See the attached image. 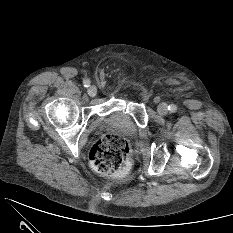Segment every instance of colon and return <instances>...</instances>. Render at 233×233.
Masks as SVG:
<instances>
[{
	"label": "colon",
	"instance_id": "5ec220e1",
	"mask_svg": "<svg viewBox=\"0 0 233 233\" xmlns=\"http://www.w3.org/2000/svg\"><path fill=\"white\" fill-rule=\"evenodd\" d=\"M89 160L92 168L106 177H116L130 164V145L116 134L102 136L91 148Z\"/></svg>",
	"mask_w": 233,
	"mask_h": 233
}]
</instances>
